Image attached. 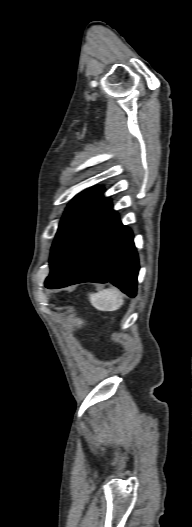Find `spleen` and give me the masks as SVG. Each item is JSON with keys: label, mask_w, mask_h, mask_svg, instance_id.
<instances>
[{"label": "spleen", "mask_w": 192, "mask_h": 527, "mask_svg": "<svg viewBox=\"0 0 192 527\" xmlns=\"http://www.w3.org/2000/svg\"><path fill=\"white\" fill-rule=\"evenodd\" d=\"M89 300L92 306L100 311H115L123 304L121 292L114 288L90 293Z\"/></svg>", "instance_id": "1"}]
</instances>
